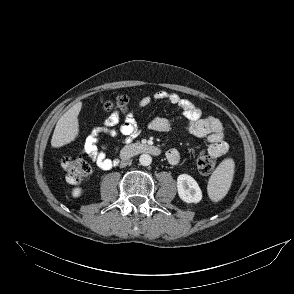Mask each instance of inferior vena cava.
<instances>
[{
	"label": "inferior vena cava",
	"mask_w": 294,
	"mask_h": 294,
	"mask_svg": "<svg viewBox=\"0 0 294 294\" xmlns=\"http://www.w3.org/2000/svg\"><path fill=\"white\" fill-rule=\"evenodd\" d=\"M129 163H130V161H122L120 164V167H125Z\"/></svg>",
	"instance_id": "1"
}]
</instances>
